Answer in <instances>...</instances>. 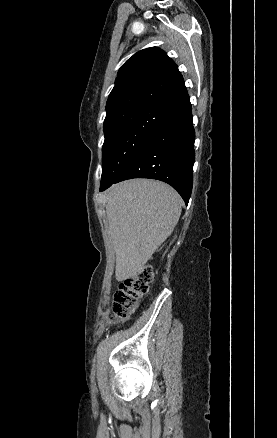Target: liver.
<instances>
[{
  "instance_id": "1",
  "label": "liver",
  "mask_w": 277,
  "mask_h": 438,
  "mask_svg": "<svg viewBox=\"0 0 277 438\" xmlns=\"http://www.w3.org/2000/svg\"><path fill=\"white\" fill-rule=\"evenodd\" d=\"M109 232L116 254V280L137 278L171 236L181 216L179 194L158 180H127L109 190Z\"/></svg>"
}]
</instances>
